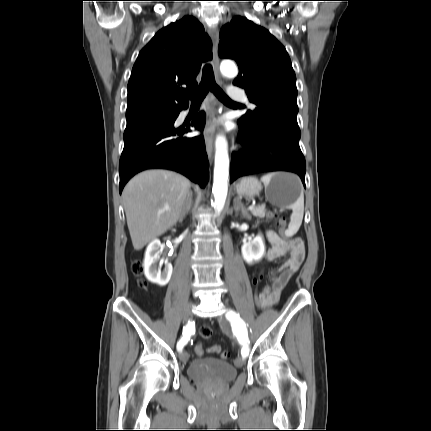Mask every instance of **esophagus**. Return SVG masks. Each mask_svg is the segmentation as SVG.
I'll return each mask as SVG.
<instances>
[{
    "label": "esophagus",
    "mask_w": 431,
    "mask_h": 431,
    "mask_svg": "<svg viewBox=\"0 0 431 431\" xmlns=\"http://www.w3.org/2000/svg\"><path fill=\"white\" fill-rule=\"evenodd\" d=\"M211 40H212V66L213 70L215 72L216 77H218V71H219V57H218V44H219V33L217 27H211L208 30ZM210 116L206 124L205 128V145H206V151L207 155L210 161H212L213 153H214V107L213 104L209 106Z\"/></svg>",
    "instance_id": "34e87169"
}]
</instances>
